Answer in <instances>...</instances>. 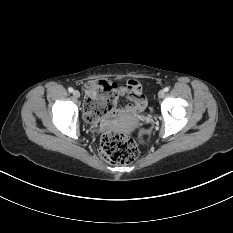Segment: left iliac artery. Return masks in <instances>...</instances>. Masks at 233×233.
<instances>
[{
    "label": "left iliac artery",
    "instance_id": "obj_1",
    "mask_svg": "<svg viewBox=\"0 0 233 233\" xmlns=\"http://www.w3.org/2000/svg\"><path fill=\"white\" fill-rule=\"evenodd\" d=\"M164 91H165V92H168V91H169V87H165V88H164Z\"/></svg>",
    "mask_w": 233,
    "mask_h": 233
}]
</instances>
